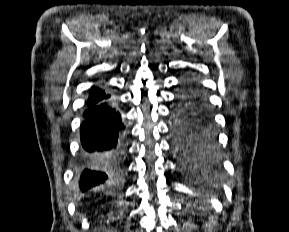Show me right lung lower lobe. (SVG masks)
Segmentation results:
<instances>
[{
  "instance_id": "98d812e1",
  "label": "right lung lower lobe",
  "mask_w": 289,
  "mask_h": 232,
  "mask_svg": "<svg viewBox=\"0 0 289 232\" xmlns=\"http://www.w3.org/2000/svg\"><path fill=\"white\" fill-rule=\"evenodd\" d=\"M82 153L79 161L82 191L104 183L125 147V124L110 96L88 99L80 127Z\"/></svg>"
}]
</instances>
